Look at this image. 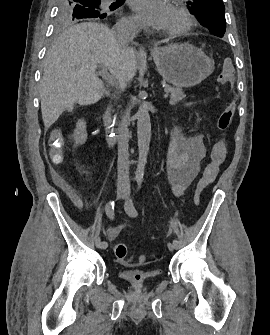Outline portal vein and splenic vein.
<instances>
[{
	"label": "portal vein and splenic vein",
	"mask_w": 270,
	"mask_h": 335,
	"mask_svg": "<svg viewBox=\"0 0 270 335\" xmlns=\"http://www.w3.org/2000/svg\"><path fill=\"white\" fill-rule=\"evenodd\" d=\"M95 65H98V62H95ZM99 65H102V62H99ZM100 69H104V66H100ZM99 75L103 81H106L107 84H111L112 87L118 86L117 80L114 79V76L109 74L108 71L101 70ZM163 97L164 99H167L169 97V93H163Z\"/></svg>",
	"instance_id": "18ae733b"
}]
</instances>
